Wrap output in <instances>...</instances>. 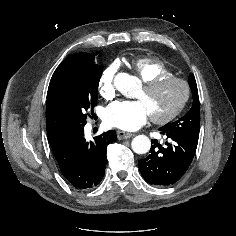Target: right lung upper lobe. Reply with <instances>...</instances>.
I'll list each match as a JSON object with an SVG mask.
<instances>
[{"mask_svg":"<svg viewBox=\"0 0 236 236\" xmlns=\"http://www.w3.org/2000/svg\"><path fill=\"white\" fill-rule=\"evenodd\" d=\"M75 54L67 57L52 75L48 92L46 105V128L48 135L59 133L62 139L71 130L68 119L60 106L59 95L62 83L65 77L73 70V58ZM60 141L52 142L51 147L56 146Z\"/></svg>","mask_w":236,"mask_h":236,"instance_id":"1","label":"right lung upper lobe"}]
</instances>
